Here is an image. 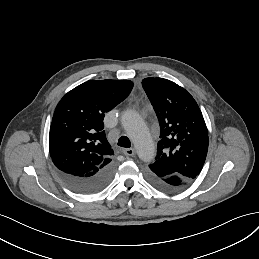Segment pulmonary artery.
<instances>
[{
	"label": "pulmonary artery",
	"instance_id": "obj_1",
	"mask_svg": "<svg viewBox=\"0 0 259 259\" xmlns=\"http://www.w3.org/2000/svg\"><path fill=\"white\" fill-rule=\"evenodd\" d=\"M121 126L124 129V131L127 133V135L133 139L134 138V133L136 130V123L132 119V116L129 114H126L122 117L121 120Z\"/></svg>",
	"mask_w": 259,
	"mask_h": 259
}]
</instances>
